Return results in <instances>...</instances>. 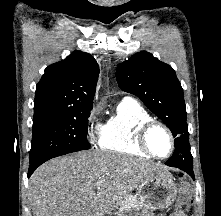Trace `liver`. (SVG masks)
Masks as SVG:
<instances>
[{
  "label": "liver",
  "mask_w": 221,
  "mask_h": 216,
  "mask_svg": "<svg viewBox=\"0 0 221 216\" xmlns=\"http://www.w3.org/2000/svg\"><path fill=\"white\" fill-rule=\"evenodd\" d=\"M168 172L151 161L99 150L42 164L31 176L34 216H105L146 178Z\"/></svg>",
  "instance_id": "liver-1"
}]
</instances>
